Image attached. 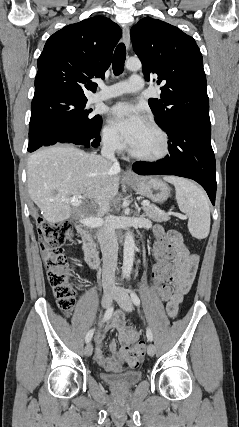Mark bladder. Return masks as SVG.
Here are the masks:
<instances>
[{
	"mask_svg": "<svg viewBox=\"0 0 239 427\" xmlns=\"http://www.w3.org/2000/svg\"><path fill=\"white\" fill-rule=\"evenodd\" d=\"M100 377L108 385L127 389L141 380L142 372L139 370H123L115 373H101Z\"/></svg>",
	"mask_w": 239,
	"mask_h": 427,
	"instance_id": "1",
	"label": "bladder"
}]
</instances>
